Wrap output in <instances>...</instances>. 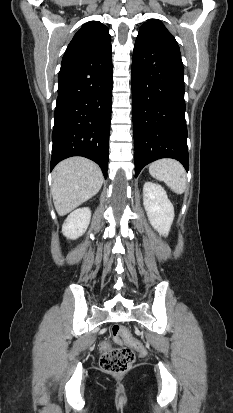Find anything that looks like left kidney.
<instances>
[{"instance_id":"5707ae66","label":"left kidney","mask_w":233,"mask_h":413,"mask_svg":"<svg viewBox=\"0 0 233 413\" xmlns=\"http://www.w3.org/2000/svg\"><path fill=\"white\" fill-rule=\"evenodd\" d=\"M143 205L151 225L163 236H167L174 220V207L162 186L145 182Z\"/></svg>"}]
</instances>
